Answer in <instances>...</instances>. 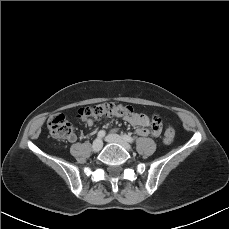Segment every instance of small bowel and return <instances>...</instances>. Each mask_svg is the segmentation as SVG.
I'll return each instance as SVG.
<instances>
[{
  "label": "small bowel",
  "instance_id": "c3829d8e",
  "mask_svg": "<svg viewBox=\"0 0 229 229\" xmlns=\"http://www.w3.org/2000/svg\"><path fill=\"white\" fill-rule=\"evenodd\" d=\"M124 119L131 125L138 127L136 133L139 136H149L157 134L156 131H152L146 128V126L150 123V118L146 114L133 113L130 115H126ZM85 123L87 126L91 127L93 126L94 121L92 119H86ZM71 139H74V136L71 137Z\"/></svg>",
  "mask_w": 229,
  "mask_h": 229
}]
</instances>
